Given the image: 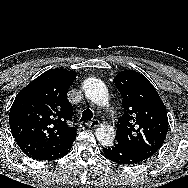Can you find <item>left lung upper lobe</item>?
Segmentation results:
<instances>
[{
    "instance_id": "5c2ea615",
    "label": "left lung upper lobe",
    "mask_w": 188,
    "mask_h": 188,
    "mask_svg": "<svg viewBox=\"0 0 188 188\" xmlns=\"http://www.w3.org/2000/svg\"><path fill=\"white\" fill-rule=\"evenodd\" d=\"M114 83L124 105V113L117 122L116 143L151 157L168 131L166 107L153 85L136 71L120 72Z\"/></svg>"
}]
</instances>
